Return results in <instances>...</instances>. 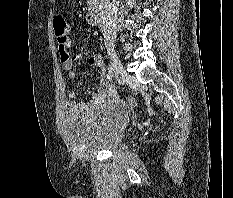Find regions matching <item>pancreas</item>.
<instances>
[{"label":"pancreas","mask_w":233,"mask_h":198,"mask_svg":"<svg viewBox=\"0 0 233 198\" xmlns=\"http://www.w3.org/2000/svg\"><path fill=\"white\" fill-rule=\"evenodd\" d=\"M99 0H88V5L98 4Z\"/></svg>","instance_id":"pancreas-1"}]
</instances>
